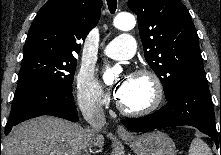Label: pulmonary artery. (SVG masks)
I'll use <instances>...</instances> for the list:
<instances>
[{
    "label": "pulmonary artery",
    "mask_w": 221,
    "mask_h": 155,
    "mask_svg": "<svg viewBox=\"0 0 221 155\" xmlns=\"http://www.w3.org/2000/svg\"><path fill=\"white\" fill-rule=\"evenodd\" d=\"M135 52V40L130 34H121L104 49V54L115 60H126Z\"/></svg>",
    "instance_id": "1"
}]
</instances>
